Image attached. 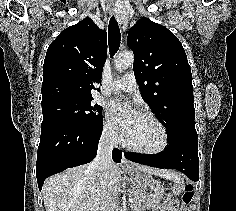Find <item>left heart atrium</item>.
<instances>
[{
	"mask_svg": "<svg viewBox=\"0 0 236 211\" xmlns=\"http://www.w3.org/2000/svg\"><path fill=\"white\" fill-rule=\"evenodd\" d=\"M120 103L118 102H113L110 105V111L113 119L115 120L116 123H118L124 131H126L131 124L135 121L137 116L139 115L138 112L135 109H132L130 113L126 116H120L118 111H119Z\"/></svg>",
	"mask_w": 236,
	"mask_h": 211,
	"instance_id": "39dd6f15",
	"label": "left heart atrium"
}]
</instances>
